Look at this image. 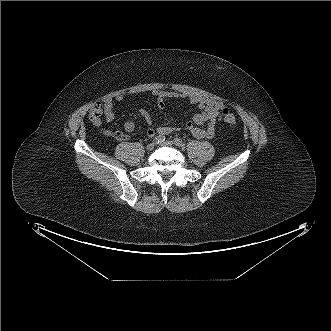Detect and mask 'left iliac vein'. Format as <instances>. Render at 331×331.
<instances>
[{
  "label": "left iliac vein",
  "mask_w": 331,
  "mask_h": 331,
  "mask_svg": "<svg viewBox=\"0 0 331 331\" xmlns=\"http://www.w3.org/2000/svg\"><path fill=\"white\" fill-rule=\"evenodd\" d=\"M161 145L170 147V146H173L174 143L172 141L167 140V141L163 142Z\"/></svg>",
  "instance_id": "obj_1"
}]
</instances>
